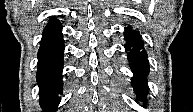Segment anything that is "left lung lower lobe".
<instances>
[{
	"label": "left lung lower lobe",
	"instance_id": "obj_1",
	"mask_svg": "<svg viewBox=\"0 0 193 112\" xmlns=\"http://www.w3.org/2000/svg\"><path fill=\"white\" fill-rule=\"evenodd\" d=\"M125 50L129 51L127 54L129 61H131V70L134 73L132 78L133 87L137 94L138 100L146 103V95L148 93L147 75L149 73V63L147 60V53L143 48V40L138 32L127 28L125 31ZM132 48V49H131Z\"/></svg>",
	"mask_w": 193,
	"mask_h": 112
}]
</instances>
